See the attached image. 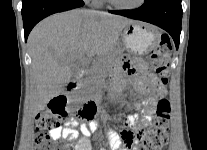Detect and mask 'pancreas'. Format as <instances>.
Masks as SVG:
<instances>
[{
  "mask_svg": "<svg viewBox=\"0 0 207 150\" xmlns=\"http://www.w3.org/2000/svg\"><path fill=\"white\" fill-rule=\"evenodd\" d=\"M111 61V58L106 57L97 60L93 64L88 72L89 77L85 78L81 83V87L86 90L87 93H91L93 89L101 86L102 78L106 76Z\"/></svg>",
  "mask_w": 207,
  "mask_h": 150,
  "instance_id": "1",
  "label": "pancreas"
}]
</instances>
